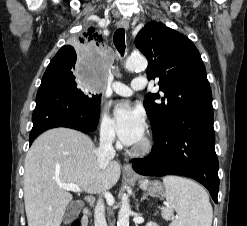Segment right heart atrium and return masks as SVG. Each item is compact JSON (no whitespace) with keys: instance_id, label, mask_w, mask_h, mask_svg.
<instances>
[{"instance_id":"1","label":"right heart atrium","mask_w":247,"mask_h":226,"mask_svg":"<svg viewBox=\"0 0 247 226\" xmlns=\"http://www.w3.org/2000/svg\"><path fill=\"white\" fill-rule=\"evenodd\" d=\"M100 137L105 142H113L115 140L114 124L107 112H103L99 119Z\"/></svg>"}]
</instances>
